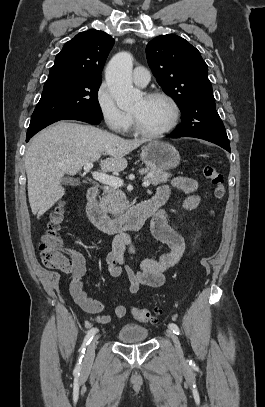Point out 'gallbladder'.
Returning a JSON list of instances; mask_svg holds the SVG:
<instances>
[{
  "label": "gallbladder",
  "instance_id": "obj_1",
  "mask_svg": "<svg viewBox=\"0 0 265 407\" xmlns=\"http://www.w3.org/2000/svg\"><path fill=\"white\" fill-rule=\"evenodd\" d=\"M62 183L65 185L76 186V185H79L80 182L77 179L66 177V178H63Z\"/></svg>",
  "mask_w": 265,
  "mask_h": 407
}]
</instances>
